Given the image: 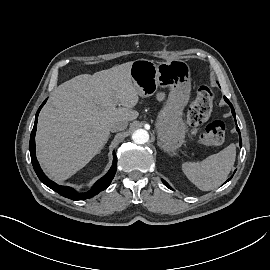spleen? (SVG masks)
<instances>
[{"label":"spleen","mask_w":270,"mask_h":270,"mask_svg":"<svg viewBox=\"0 0 270 270\" xmlns=\"http://www.w3.org/2000/svg\"><path fill=\"white\" fill-rule=\"evenodd\" d=\"M236 159V147L230 144L217 154L201 162H185L182 170L187 178L202 191L219 187L228 177Z\"/></svg>","instance_id":"3e777b00"}]
</instances>
